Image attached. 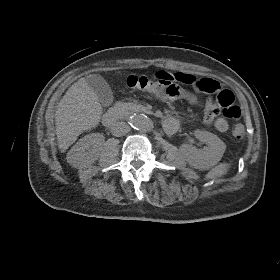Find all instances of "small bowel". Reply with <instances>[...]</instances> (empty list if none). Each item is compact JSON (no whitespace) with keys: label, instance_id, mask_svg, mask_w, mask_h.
I'll return each mask as SVG.
<instances>
[{"label":"small bowel","instance_id":"c3829d8e","mask_svg":"<svg viewBox=\"0 0 280 280\" xmlns=\"http://www.w3.org/2000/svg\"><path fill=\"white\" fill-rule=\"evenodd\" d=\"M177 73L179 74V77L183 85L190 86L197 92H203L202 90L208 86L209 82H214L218 84V82L213 79H206V78L201 79L188 73H183V72H177ZM182 99L186 100L187 102L193 105L198 103L197 97L193 93L185 90ZM212 107H213V102L210 99H208L204 107V121L206 123L213 122V125L217 131L226 132L229 128V124L225 118L218 117L216 119L206 120L208 117H210ZM180 126H181V121L177 117H167L166 119L163 120V128L168 134H175L180 129Z\"/></svg>","mask_w":280,"mask_h":280}]
</instances>
